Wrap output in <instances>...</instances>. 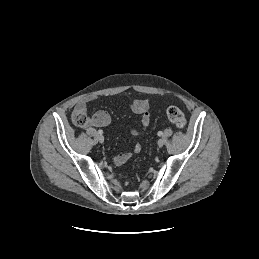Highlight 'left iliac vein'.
I'll use <instances>...</instances> for the list:
<instances>
[{
    "label": "left iliac vein",
    "mask_w": 259,
    "mask_h": 259,
    "mask_svg": "<svg viewBox=\"0 0 259 259\" xmlns=\"http://www.w3.org/2000/svg\"><path fill=\"white\" fill-rule=\"evenodd\" d=\"M159 147H162L164 145V140L163 139H159L157 142Z\"/></svg>",
    "instance_id": "1"
}]
</instances>
